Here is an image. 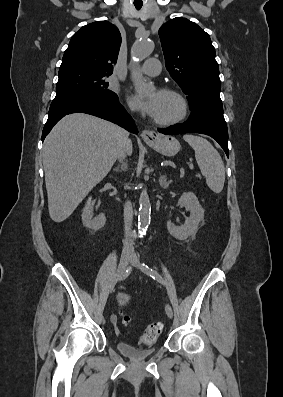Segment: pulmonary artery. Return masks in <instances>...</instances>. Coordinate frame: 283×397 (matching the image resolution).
Here are the masks:
<instances>
[{
	"label": "pulmonary artery",
	"mask_w": 283,
	"mask_h": 397,
	"mask_svg": "<svg viewBox=\"0 0 283 397\" xmlns=\"http://www.w3.org/2000/svg\"><path fill=\"white\" fill-rule=\"evenodd\" d=\"M141 72L148 76H157L161 72V65L156 58H149L141 68Z\"/></svg>",
	"instance_id": "pulmonary-artery-1"
}]
</instances>
